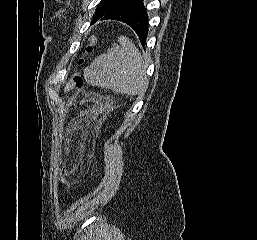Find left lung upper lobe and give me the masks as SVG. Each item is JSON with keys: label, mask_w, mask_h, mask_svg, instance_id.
Returning a JSON list of instances; mask_svg holds the SVG:
<instances>
[{"label": "left lung upper lobe", "mask_w": 257, "mask_h": 240, "mask_svg": "<svg viewBox=\"0 0 257 240\" xmlns=\"http://www.w3.org/2000/svg\"><path fill=\"white\" fill-rule=\"evenodd\" d=\"M120 0H101L96 8V12L93 15L92 22L99 20L107 10L116 5Z\"/></svg>", "instance_id": "5c2ea615"}]
</instances>
